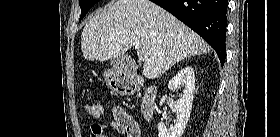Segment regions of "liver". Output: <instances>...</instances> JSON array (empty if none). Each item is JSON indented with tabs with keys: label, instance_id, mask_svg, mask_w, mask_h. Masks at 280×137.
Returning a JSON list of instances; mask_svg holds the SVG:
<instances>
[{
	"label": "liver",
	"instance_id": "1",
	"mask_svg": "<svg viewBox=\"0 0 280 137\" xmlns=\"http://www.w3.org/2000/svg\"><path fill=\"white\" fill-rule=\"evenodd\" d=\"M137 71L154 79L187 57L210 51L209 45L189 27L149 0H116L85 25L81 50L89 61L123 56L134 43Z\"/></svg>",
	"mask_w": 280,
	"mask_h": 137
}]
</instances>
